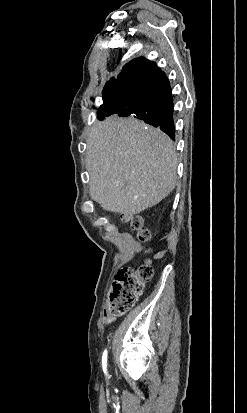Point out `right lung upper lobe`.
I'll return each instance as SVG.
<instances>
[{
    "label": "right lung upper lobe",
    "instance_id": "cb5924a9",
    "mask_svg": "<svg viewBox=\"0 0 247 413\" xmlns=\"http://www.w3.org/2000/svg\"><path fill=\"white\" fill-rule=\"evenodd\" d=\"M157 70L160 69L156 66L154 62L148 61L145 58H136L123 67L122 72L119 74L117 80H115V78H112L107 83L128 82V80L138 72Z\"/></svg>",
    "mask_w": 247,
    "mask_h": 413
}]
</instances>
